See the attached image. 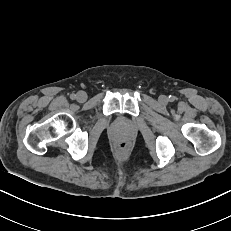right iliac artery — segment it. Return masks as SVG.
<instances>
[{
  "label": "right iliac artery",
  "instance_id": "1",
  "mask_svg": "<svg viewBox=\"0 0 231 231\" xmlns=\"http://www.w3.org/2000/svg\"><path fill=\"white\" fill-rule=\"evenodd\" d=\"M70 98H71V99H75V98H76V95H75V94H71Z\"/></svg>",
  "mask_w": 231,
  "mask_h": 231
}]
</instances>
